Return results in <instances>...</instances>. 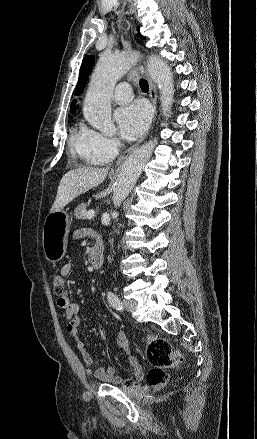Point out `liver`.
Returning <instances> with one entry per match:
<instances>
[{"mask_svg": "<svg viewBox=\"0 0 257 439\" xmlns=\"http://www.w3.org/2000/svg\"><path fill=\"white\" fill-rule=\"evenodd\" d=\"M108 175L106 168L83 167L68 171L61 179L50 212L62 210L76 197L100 185Z\"/></svg>", "mask_w": 257, "mask_h": 439, "instance_id": "liver-1", "label": "liver"}]
</instances>
